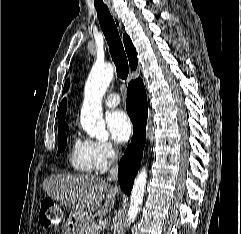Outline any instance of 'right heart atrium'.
<instances>
[{"instance_id":"d8ad5b80","label":"right heart atrium","mask_w":241,"mask_h":234,"mask_svg":"<svg viewBox=\"0 0 241 234\" xmlns=\"http://www.w3.org/2000/svg\"><path fill=\"white\" fill-rule=\"evenodd\" d=\"M97 171L105 170L116 158L117 147L110 140L92 141Z\"/></svg>"}]
</instances>
